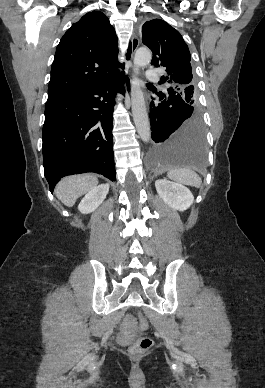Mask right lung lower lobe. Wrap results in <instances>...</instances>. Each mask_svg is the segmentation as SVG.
I'll list each match as a JSON object with an SVG mask.
<instances>
[{
	"instance_id": "right-lung-lower-lobe-1",
	"label": "right lung lower lobe",
	"mask_w": 265,
	"mask_h": 388,
	"mask_svg": "<svg viewBox=\"0 0 265 388\" xmlns=\"http://www.w3.org/2000/svg\"><path fill=\"white\" fill-rule=\"evenodd\" d=\"M125 80L129 90V79L122 72L47 100L42 150L51 192L60 178L71 174L95 172L115 180L113 107L116 93L125 94Z\"/></svg>"
}]
</instances>
